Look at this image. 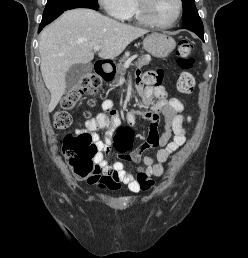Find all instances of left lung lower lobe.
I'll use <instances>...</instances> for the list:
<instances>
[{"label": "left lung lower lobe", "mask_w": 248, "mask_h": 258, "mask_svg": "<svg viewBox=\"0 0 248 258\" xmlns=\"http://www.w3.org/2000/svg\"><path fill=\"white\" fill-rule=\"evenodd\" d=\"M186 29L196 33L204 41V28L203 25L188 26Z\"/></svg>", "instance_id": "0a47b994"}]
</instances>
